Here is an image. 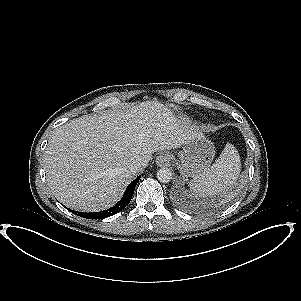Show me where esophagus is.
Returning <instances> with one entry per match:
<instances>
[{"instance_id": "esophagus-1", "label": "esophagus", "mask_w": 301, "mask_h": 301, "mask_svg": "<svg viewBox=\"0 0 301 301\" xmlns=\"http://www.w3.org/2000/svg\"><path fill=\"white\" fill-rule=\"evenodd\" d=\"M170 155L168 153H161L156 157V164L159 167H165L170 165Z\"/></svg>"}]
</instances>
